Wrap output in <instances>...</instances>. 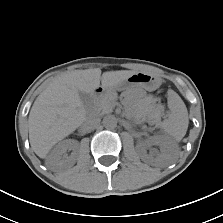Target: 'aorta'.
Segmentation results:
<instances>
[{
    "instance_id": "aorta-1",
    "label": "aorta",
    "mask_w": 223,
    "mask_h": 223,
    "mask_svg": "<svg viewBox=\"0 0 223 223\" xmlns=\"http://www.w3.org/2000/svg\"><path fill=\"white\" fill-rule=\"evenodd\" d=\"M103 125L105 128L113 129L117 126V119L114 115H107L103 118Z\"/></svg>"
}]
</instances>
